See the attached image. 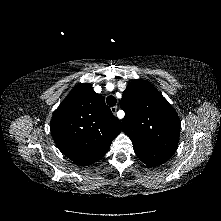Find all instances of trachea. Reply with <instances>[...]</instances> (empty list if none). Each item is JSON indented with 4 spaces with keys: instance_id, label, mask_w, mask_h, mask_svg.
I'll use <instances>...</instances> for the list:
<instances>
[{
    "instance_id": "1",
    "label": "trachea",
    "mask_w": 221,
    "mask_h": 221,
    "mask_svg": "<svg viewBox=\"0 0 221 221\" xmlns=\"http://www.w3.org/2000/svg\"><path fill=\"white\" fill-rule=\"evenodd\" d=\"M116 102H117L116 98L112 95H110L106 98V103L111 107L115 106Z\"/></svg>"
}]
</instances>
